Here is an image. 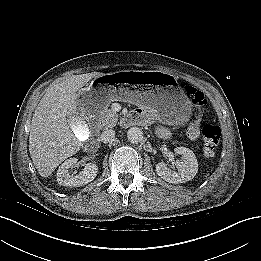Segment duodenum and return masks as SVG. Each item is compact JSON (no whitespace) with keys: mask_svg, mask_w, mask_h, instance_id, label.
Returning <instances> with one entry per match:
<instances>
[{"mask_svg":"<svg viewBox=\"0 0 261 261\" xmlns=\"http://www.w3.org/2000/svg\"><path fill=\"white\" fill-rule=\"evenodd\" d=\"M125 123H131V118H126ZM92 124L95 128V131L98 130V121L96 119L92 120ZM98 146V140L96 138H91L87 143H86V149L87 150H93Z\"/></svg>","mask_w":261,"mask_h":261,"instance_id":"duodenum-1","label":"duodenum"}]
</instances>
